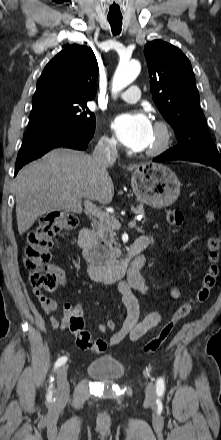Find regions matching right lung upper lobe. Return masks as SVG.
<instances>
[{"mask_svg":"<svg viewBox=\"0 0 221 440\" xmlns=\"http://www.w3.org/2000/svg\"><path fill=\"white\" fill-rule=\"evenodd\" d=\"M97 75L98 64L92 49L71 45L46 65L32 103H86L95 97Z\"/></svg>","mask_w":221,"mask_h":440,"instance_id":"obj_1","label":"right lung upper lobe"}]
</instances>
